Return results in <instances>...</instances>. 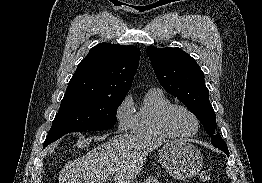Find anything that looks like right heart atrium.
<instances>
[{
  "label": "right heart atrium",
  "instance_id": "right-heart-atrium-1",
  "mask_svg": "<svg viewBox=\"0 0 262 183\" xmlns=\"http://www.w3.org/2000/svg\"><path fill=\"white\" fill-rule=\"evenodd\" d=\"M133 102L130 95H126L115 110L117 130L125 132L131 128L133 121Z\"/></svg>",
  "mask_w": 262,
  "mask_h": 183
}]
</instances>
